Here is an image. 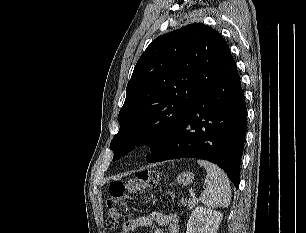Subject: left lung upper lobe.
I'll return each instance as SVG.
<instances>
[{"instance_id":"5c2ea615","label":"left lung upper lobe","mask_w":306,"mask_h":233,"mask_svg":"<svg viewBox=\"0 0 306 233\" xmlns=\"http://www.w3.org/2000/svg\"><path fill=\"white\" fill-rule=\"evenodd\" d=\"M216 30L194 23L156 38L138 60L127 84L126 99L111 141L113 160L148 143L155 155L229 56Z\"/></svg>"}]
</instances>
